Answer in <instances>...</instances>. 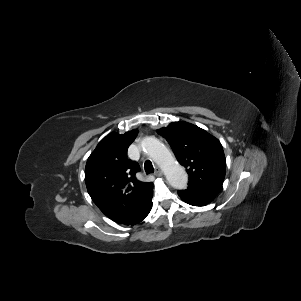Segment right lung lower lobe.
<instances>
[{"mask_svg": "<svg viewBox=\"0 0 301 301\" xmlns=\"http://www.w3.org/2000/svg\"><path fill=\"white\" fill-rule=\"evenodd\" d=\"M152 196H153V192L149 195L145 205L140 210V212L125 225H135L146 218V216L149 214L152 208Z\"/></svg>", "mask_w": 301, "mask_h": 301, "instance_id": "1", "label": "right lung lower lobe"}]
</instances>
